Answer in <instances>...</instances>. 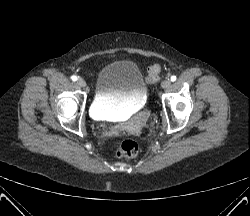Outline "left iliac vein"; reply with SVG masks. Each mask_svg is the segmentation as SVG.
I'll list each match as a JSON object with an SVG mask.
<instances>
[{"label": "left iliac vein", "mask_w": 250, "mask_h": 216, "mask_svg": "<svg viewBox=\"0 0 250 216\" xmlns=\"http://www.w3.org/2000/svg\"><path fill=\"white\" fill-rule=\"evenodd\" d=\"M162 88L167 89L171 86V81L169 79H165L162 84H161Z\"/></svg>", "instance_id": "obj_1"}]
</instances>
